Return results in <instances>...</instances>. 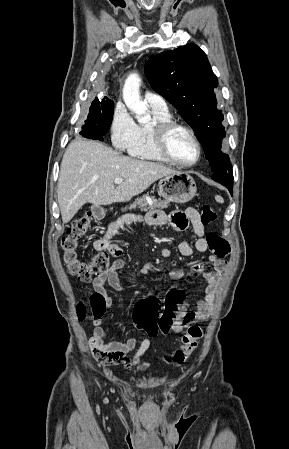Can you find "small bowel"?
Segmentation results:
<instances>
[{
    "instance_id": "obj_1",
    "label": "small bowel",
    "mask_w": 289,
    "mask_h": 449,
    "mask_svg": "<svg viewBox=\"0 0 289 449\" xmlns=\"http://www.w3.org/2000/svg\"><path fill=\"white\" fill-rule=\"evenodd\" d=\"M145 222L149 225H165L169 223L174 229L178 231L185 230L189 223L192 226L193 234L191 239L194 240V246L189 240L181 242L178 246L180 254L184 257L193 255L194 250L198 252H205L208 249V242L204 236L205 224L201 220L199 213L193 208H187L185 211H173L169 215L162 211H152L146 214ZM122 225V221L111 223L105 234L94 242V248L98 251H108L111 256L115 258L111 266L96 276L93 280V288L96 293L103 296L106 307H111L112 298L108 294L105 285L108 284L112 289L121 291L123 284L120 278V273L125 267V260L121 258L122 247L119 243L111 241L112 236ZM163 257H169L171 250L164 247L161 250ZM212 264V270L208 271L203 263H195L190 270L186 272L183 269H173L169 275L174 280H180L187 274L194 276H202L205 281L204 297L197 303L196 309L188 310L186 303H181L178 307V314L173 326L176 333L182 332L191 324L207 320L213 311L215 290L218 280L226 268L227 262L224 259H219L214 256L209 257ZM153 270L151 265H145L142 268V273L147 274ZM103 319L101 317L94 321L93 334L89 340V347L94 357L104 365H112L121 363L126 367L139 366L141 369H146L150 366L149 362L140 364L141 356L150 347V339L144 338L139 344L135 337L128 338L125 341H109L106 342V332L103 327ZM138 345V347H137ZM137 347L135 354L132 357L128 353Z\"/></svg>"
}]
</instances>
